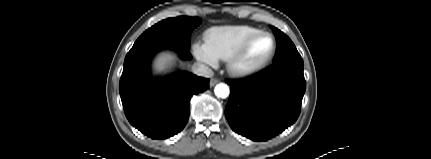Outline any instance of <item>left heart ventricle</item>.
Here are the masks:
<instances>
[{
    "label": "left heart ventricle",
    "instance_id": "1",
    "mask_svg": "<svg viewBox=\"0 0 431 159\" xmlns=\"http://www.w3.org/2000/svg\"><path fill=\"white\" fill-rule=\"evenodd\" d=\"M272 42L267 36H259L247 49L241 59V64L251 65L263 59L271 50Z\"/></svg>",
    "mask_w": 431,
    "mask_h": 159
}]
</instances>
